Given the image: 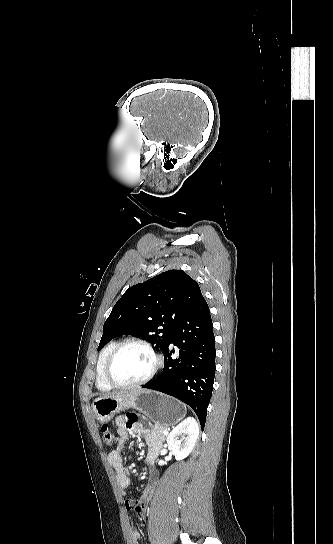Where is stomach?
<instances>
[{"label":"stomach","instance_id":"1","mask_svg":"<svg viewBox=\"0 0 333 544\" xmlns=\"http://www.w3.org/2000/svg\"><path fill=\"white\" fill-rule=\"evenodd\" d=\"M92 409L101 424L109 422L115 414L126 409H136L155 425L165 428L176 424L185 416V408L181 402L150 390H139L116 397H100L94 400Z\"/></svg>","mask_w":333,"mask_h":544}]
</instances>
